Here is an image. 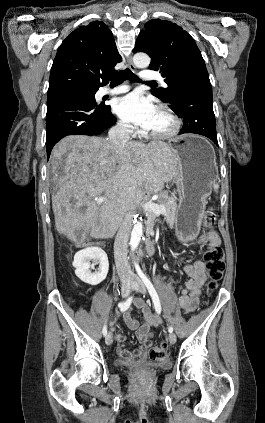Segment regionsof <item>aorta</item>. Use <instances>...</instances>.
I'll use <instances>...</instances> for the list:
<instances>
[{
    "label": "aorta",
    "instance_id": "762f6f07",
    "mask_svg": "<svg viewBox=\"0 0 265 423\" xmlns=\"http://www.w3.org/2000/svg\"><path fill=\"white\" fill-rule=\"evenodd\" d=\"M133 62L137 67L145 68L148 67L150 64V57L145 53H137L133 57ZM142 235L143 225L141 222H137L133 226L130 238V248L132 253H134V251L138 248Z\"/></svg>",
    "mask_w": 265,
    "mask_h": 423
}]
</instances>
